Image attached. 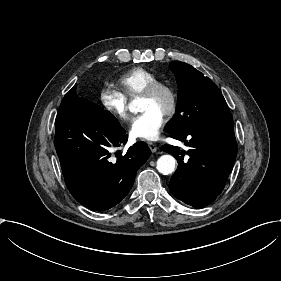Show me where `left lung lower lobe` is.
<instances>
[{
  "instance_id": "1",
  "label": "left lung lower lobe",
  "mask_w": 281,
  "mask_h": 281,
  "mask_svg": "<svg viewBox=\"0 0 281 281\" xmlns=\"http://www.w3.org/2000/svg\"><path fill=\"white\" fill-rule=\"evenodd\" d=\"M171 137L184 142L191 149L163 145L162 150L172 154L178 168L172 176L169 188L184 203L202 208L213 202L222 192L232 171L237 154L234 123H219L191 129ZM190 139V140H188Z\"/></svg>"
}]
</instances>
